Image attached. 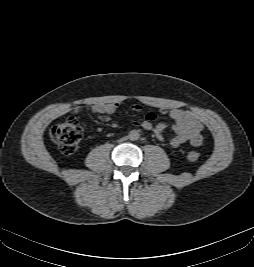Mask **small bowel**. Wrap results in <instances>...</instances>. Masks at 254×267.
<instances>
[{"mask_svg":"<svg viewBox=\"0 0 254 267\" xmlns=\"http://www.w3.org/2000/svg\"><path fill=\"white\" fill-rule=\"evenodd\" d=\"M122 106L119 102L114 103H96L86 108L77 107L73 109V113H81L88 111L94 114H98L102 121H108L109 116L115 113V111ZM133 111H141V106L134 104L131 106ZM160 114H168L172 120L171 128L174 131V136L170 139L172 147H179L185 143H189L192 146H200L203 143V125L201 121L190 111L182 109H167L165 107L160 108ZM157 115L154 112H148L144 119L134 120L135 126H140L145 130L152 131L158 139L163 138V133L168 127L164 122L155 124L154 121Z\"/></svg>","mask_w":254,"mask_h":267,"instance_id":"1","label":"small bowel"}]
</instances>
